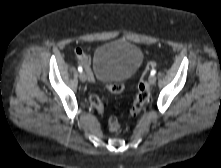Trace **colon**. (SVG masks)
<instances>
[{"instance_id": "obj_1", "label": "colon", "mask_w": 221, "mask_h": 168, "mask_svg": "<svg viewBox=\"0 0 221 168\" xmlns=\"http://www.w3.org/2000/svg\"><path fill=\"white\" fill-rule=\"evenodd\" d=\"M158 66V63L155 61H151L146 65V71L152 70ZM138 92L135 101L131 107L130 113L132 116H137L142 111L145 103L149 98V88L147 85L146 78L143 76L138 83ZM124 86L122 83H114L109 86V91L113 94L122 93ZM91 104L94 108L102 113L104 111V106L101 99L97 95H92L90 98ZM109 129L113 132H116L120 129V123L118 119L114 116H111L108 120Z\"/></svg>"}]
</instances>
